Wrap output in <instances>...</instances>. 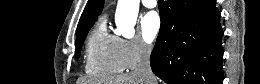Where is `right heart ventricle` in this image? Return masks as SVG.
I'll list each match as a JSON object with an SVG mask.
<instances>
[{
	"mask_svg": "<svg viewBox=\"0 0 260 84\" xmlns=\"http://www.w3.org/2000/svg\"><path fill=\"white\" fill-rule=\"evenodd\" d=\"M124 69L118 52V37L107 32L106 21L102 19L87 40L85 71L93 77H108Z\"/></svg>",
	"mask_w": 260,
	"mask_h": 84,
	"instance_id": "right-heart-ventricle-1",
	"label": "right heart ventricle"
}]
</instances>
